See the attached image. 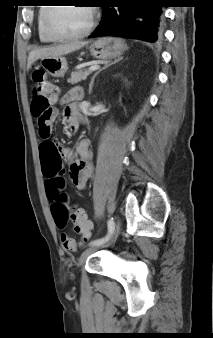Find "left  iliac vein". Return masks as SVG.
I'll return each instance as SVG.
<instances>
[{"instance_id": "4c4485c4", "label": "left iliac vein", "mask_w": 213, "mask_h": 338, "mask_svg": "<svg viewBox=\"0 0 213 338\" xmlns=\"http://www.w3.org/2000/svg\"><path fill=\"white\" fill-rule=\"evenodd\" d=\"M120 229H121V224H120V221H118V222L116 223V227H115V229H114V231H113L111 237L109 238V240L106 241V242H104V243H102V244L92 245V246L88 247L87 249H85V250L82 252V254H81L80 258H79V263H78V264H79V265L84 264V262L86 261V259H87L91 254H93L95 251H97L98 249L103 248V247H107V246L113 244V243L117 240V238H118V236H119Z\"/></svg>"}]
</instances>
